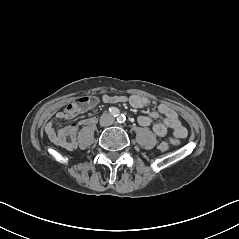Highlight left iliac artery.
<instances>
[{"label":"left iliac artery","mask_w":239,"mask_h":239,"mask_svg":"<svg viewBox=\"0 0 239 239\" xmlns=\"http://www.w3.org/2000/svg\"><path fill=\"white\" fill-rule=\"evenodd\" d=\"M125 119H126V117H125V115H123V114H121V115L117 118V120H118L119 123H124Z\"/></svg>","instance_id":"1"}]
</instances>
